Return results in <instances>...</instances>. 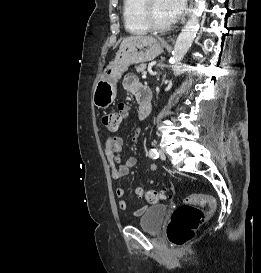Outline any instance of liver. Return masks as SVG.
Listing matches in <instances>:
<instances>
[{"label": "liver", "instance_id": "liver-1", "mask_svg": "<svg viewBox=\"0 0 261 273\" xmlns=\"http://www.w3.org/2000/svg\"><path fill=\"white\" fill-rule=\"evenodd\" d=\"M147 38H151V37H145V36H131L128 38H125L122 43L121 46H124L126 44H128L129 42L135 41V40H140V39H147ZM120 46V47H121Z\"/></svg>", "mask_w": 261, "mask_h": 273}]
</instances>
